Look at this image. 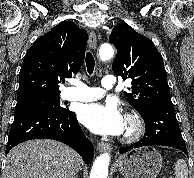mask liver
Wrapping results in <instances>:
<instances>
[{
	"label": "liver",
	"mask_w": 194,
	"mask_h": 178,
	"mask_svg": "<svg viewBox=\"0 0 194 178\" xmlns=\"http://www.w3.org/2000/svg\"><path fill=\"white\" fill-rule=\"evenodd\" d=\"M82 162L80 155L63 143L30 140L8 153L3 178H73Z\"/></svg>",
	"instance_id": "6515ba94"
}]
</instances>
